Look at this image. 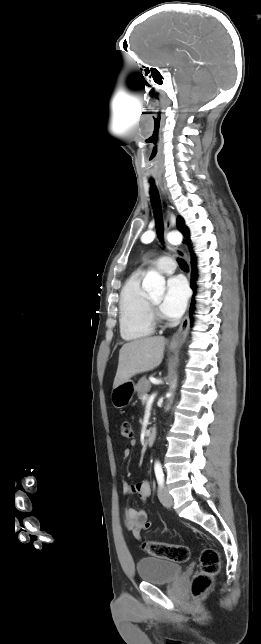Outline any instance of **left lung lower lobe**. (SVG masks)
Returning <instances> with one entry per match:
<instances>
[{
	"instance_id": "left-lung-lower-lobe-1",
	"label": "left lung lower lobe",
	"mask_w": 261,
	"mask_h": 644,
	"mask_svg": "<svg viewBox=\"0 0 261 644\" xmlns=\"http://www.w3.org/2000/svg\"><path fill=\"white\" fill-rule=\"evenodd\" d=\"M191 265L193 267L192 274H191V288L193 290H195L196 289L195 281H196V278H197V270L195 268V266H196L195 258H191ZM193 310H194V300L192 301L191 306H190V316H191Z\"/></svg>"
}]
</instances>
